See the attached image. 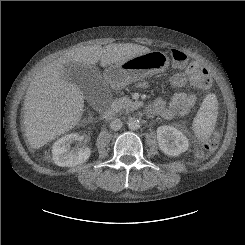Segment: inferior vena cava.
I'll return each mask as SVG.
<instances>
[{
  "label": "inferior vena cava",
  "instance_id": "inferior-vena-cava-1",
  "mask_svg": "<svg viewBox=\"0 0 245 245\" xmlns=\"http://www.w3.org/2000/svg\"><path fill=\"white\" fill-rule=\"evenodd\" d=\"M122 125L123 123L120 119H114L110 123L111 129L115 131L120 130L122 128Z\"/></svg>",
  "mask_w": 245,
  "mask_h": 245
}]
</instances>
